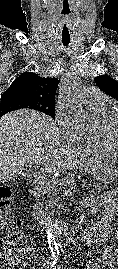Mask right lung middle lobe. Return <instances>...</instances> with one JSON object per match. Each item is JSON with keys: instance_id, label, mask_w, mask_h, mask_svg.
Masks as SVG:
<instances>
[{"instance_id": "1", "label": "right lung middle lobe", "mask_w": 118, "mask_h": 269, "mask_svg": "<svg viewBox=\"0 0 118 269\" xmlns=\"http://www.w3.org/2000/svg\"><path fill=\"white\" fill-rule=\"evenodd\" d=\"M21 108H29L34 109L40 112H43L53 119L55 117V106L54 105H44L40 104L27 96L21 94H8L2 95L1 103H0V117L4 114L21 109Z\"/></svg>"}]
</instances>
